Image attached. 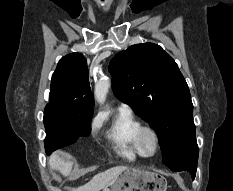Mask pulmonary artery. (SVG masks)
<instances>
[{"mask_svg":"<svg viewBox=\"0 0 233 191\" xmlns=\"http://www.w3.org/2000/svg\"><path fill=\"white\" fill-rule=\"evenodd\" d=\"M120 110H129L128 106L125 104H121Z\"/></svg>","mask_w":233,"mask_h":191,"instance_id":"obj_1","label":"pulmonary artery"}]
</instances>
